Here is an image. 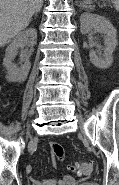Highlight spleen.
Here are the masks:
<instances>
[{"label": "spleen", "instance_id": "3e777b00", "mask_svg": "<svg viewBox=\"0 0 119 185\" xmlns=\"http://www.w3.org/2000/svg\"><path fill=\"white\" fill-rule=\"evenodd\" d=\"M112 1H113L114 5H115L116 10L119 11V0H112ZM84 4H85V5H84L83 7H85V8L90 9V8L93 7V6L91 5V0H85V1H84Z\"/></svg>", "mask_w": 119, "mask_h": 185}]
</instances>
